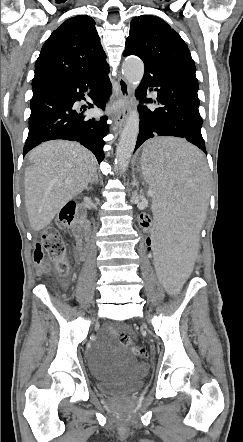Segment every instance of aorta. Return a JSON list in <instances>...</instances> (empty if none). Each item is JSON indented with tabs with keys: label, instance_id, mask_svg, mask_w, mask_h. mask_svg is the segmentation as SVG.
<instances>
[{
	"label": "aorta",
	"instance_id": "aorta-1",
	"mask_svg": "<svg viewBox=\"0 0 243 442\" xmlns=\"http://www.w3.org/2000/svg\"><path fill=\"white\" fill-rule=\"evenodd\" d=\"M122 72L131 88L136 90L144 74V64L138 57H128L122 64ZM138 133L139 115L135 108L130 112L127 118L116 149L115 169L121 175L124 174L128 168Z\"/></svg>",
	"mask_w": 243,
	"mask_h": 442
}]
</instances>
